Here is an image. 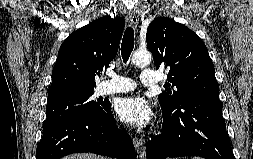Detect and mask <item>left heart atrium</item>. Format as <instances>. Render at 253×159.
Returning a JSON list of instances; mask_svg holds the SVG:
<instances>
[{
	"label": "left heart atrium",
	"mask_w": 253,
	"mask_h": 159,
	"mask_svg": "<svg viewBox=\"0 0 253 159\" xmlns=\"http://www.w3.org/2000/svg\"><path fill=\"white\" fill-rule=\"evenodd\" d=\"M116 114L124 123L139 128L147 127L153 118L151 106L141 96L121 99L116 105Z\"/></svg>",
	"instance_id": "obj_1"
}]
</instances>
